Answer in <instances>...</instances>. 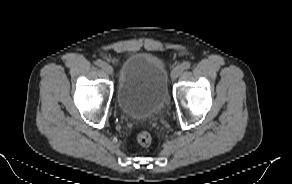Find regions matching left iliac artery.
<instances>
[{
  "instance_id": "obj_1",
  "label": "left iliac artery",
  "mask_w": 292,
  "mask_h": 184,
  "mask_svg": "<svg viewBox=\"0 0 292 184\" xmlns=\"http://www.w3.org/2000/svg\"><path fill=\"white\" fill-rule=\"evenodd\" d=\"M190 63L189 62H184L182 65H181V67H182V69H189L190 68Z\"/></svg>"
}]
</instances>
